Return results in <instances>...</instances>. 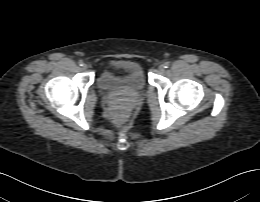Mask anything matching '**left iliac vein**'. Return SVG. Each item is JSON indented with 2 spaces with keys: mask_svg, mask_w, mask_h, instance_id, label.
<instances>
[{
  "mask_svg": "<svg viewBox=\"0 0 260 202\" xmlns=\"http://www.w3.org/2000/svg\"><path fill=\"white\" fill-rule=\"evenodd\" d=\"M158 69L160 72H163L165 70V67L163 64H161V65H159Z\"/></svg>",
  "mask_w": 260,
  "mask_h": 202,
  "instance_id": "left-iliac-vein-1",
  "label": "left iliac vein"
}]
</instances>
